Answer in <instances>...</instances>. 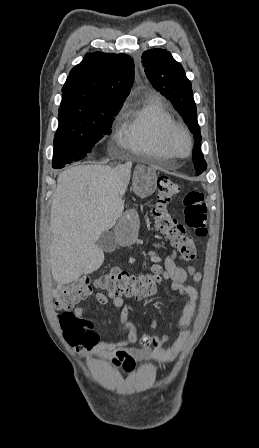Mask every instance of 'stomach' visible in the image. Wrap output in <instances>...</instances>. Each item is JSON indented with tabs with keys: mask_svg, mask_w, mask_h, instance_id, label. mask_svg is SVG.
<instances>
[{
	"mask_svg": "<svg viewBox=\"0 0 259 448\" xmlns=\"http://www.w3.org/2000/svg\"><path fill=\"white\" fill-rule=\"evenodd\" d=\"M140 212H136L135 207L130 206L127 212H123L117 226L114 228L116 238L122 246H131L138 238Z\"/></svg>",
	"mask_w": 259,
	"mask_h": 448,
	"instance_id": "0dacf381",
	"label": "stomach"
}]
</instances>
